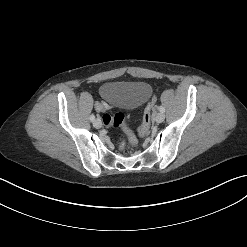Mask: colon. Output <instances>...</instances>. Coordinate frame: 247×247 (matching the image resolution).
Listing matches in <instances>:
<instances>
[{"label": "colon", "instance_id": "colon-1", "mask_svg": "<svg viewBox=\"0 0 247 247\" xmlns=\"http://www.w3.org/2000/svg\"><path fill=\"white\" fill-rule=\"evenodd\" d=\"M156 100H157L156 96L154 95L149 101V103L147 104L145 111H144L142 125L137 131L130 129L126 125L125 117H124V114L122 113H115L113 115L105 114L103 116V122L107 128H123L126 131L128 138L126 141H122L120 143L119 147L121 149L133 148L138 143L139 137H143L148 134L151 115L155 108Z\"/></svg>", "mask_w": 247, "mask_h": 247}]
</instances>
